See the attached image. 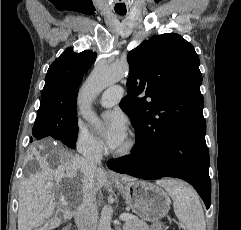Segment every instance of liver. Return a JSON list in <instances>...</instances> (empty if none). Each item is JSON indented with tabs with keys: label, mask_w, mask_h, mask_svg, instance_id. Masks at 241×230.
Listing matches in <instances>:
<instances>
[{
	"label": "liver",
	"mask_w": 241,
	"mask_h": 230,
	"mask_svg": "<svg viewBox=\"0 0 241 230\" xmlns=\"http://www.w3.org/2000/svg\"><path fill=\"white\" fill-rule=\"evenodd\" d=\"M35 160L37 170L28 178L23 177L19 187L18 230H34L51 218L55 212V194L49 189V182L54 180L56 187L62 179L67 178L73 184V193L68 191L65 199L72 203H80L83 199V181L81 164L83 158L59 146L48 151L41 145L40 150L32 148L26 161ZM94 195L106 182V175L101 168L95 170ZM124 181H135L125 176ZM56 218L52 224H58Z\"/></svg>",
	"instance_id": "1"
}]
</instances>
